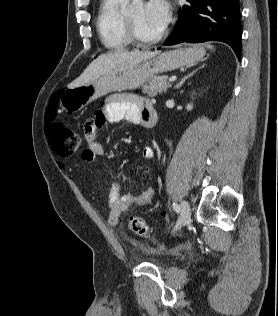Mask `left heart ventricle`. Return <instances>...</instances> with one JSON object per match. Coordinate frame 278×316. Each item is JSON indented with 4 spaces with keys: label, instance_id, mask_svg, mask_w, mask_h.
Segmentation results:
<instances>
[{
    "label": "left heart ventricle",
    "instance_id": "1",
    "mask_svg": "<svg viewBox=\"0 0 278 316\" xmlns=\"http://www.w3.org/2000/svg\"><path fill=\"white\" fill-rule=\"evenodd\" d=\"M128 16L133 21L138 33L143 38H152L158 35L163 29L151 24L145 15L144 6H139L132 10Z\"/></svg>",
    "mask_w": 278,
    "mask_h": 316
}]
</instances>
